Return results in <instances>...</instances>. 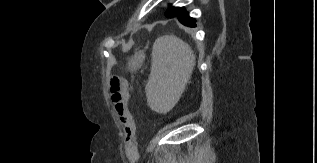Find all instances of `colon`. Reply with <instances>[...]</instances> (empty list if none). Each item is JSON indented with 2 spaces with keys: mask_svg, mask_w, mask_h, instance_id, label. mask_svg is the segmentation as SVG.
Instances as JSON below:
<instances>
[{
  "mask_svg": "<svg viewBox=\"0 0 317 163\" xmlns=\"http://www.w3.org/2000/svg\"><path fill=\"white\" fill-rule=\"evenodd\" d=\"M109 91L112 97V101L115 104H124L128 98V88L125 82L119 78H112L110 80Z\"/></svg>",
  "mask_w": 317,
  "mask_h": 163,
  "instance_id": "obj_1",
  "label": "colon"
}]
</instances>
